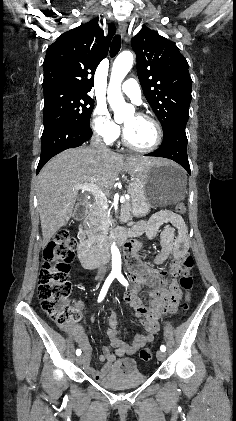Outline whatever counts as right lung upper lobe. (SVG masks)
<instances>
[{
    "label": "right lung upper lobe",
    "instance_id": "obj_1",
    "mask_svg": "<svg viewBox=\"0 0 236 421\" xmlns=\"http://www.w3.org/2000/svg\"><path fill=\"white\" fill-rule=\"evenodd\" d=\"M98 18L63 33L51 44L43 63V90L49 88L88 93L94 86V70L107 55L116 27L108 35Z\"/></svg>",
    "mask_w": 236,
    "mask_h": 421
}]
</instances>
